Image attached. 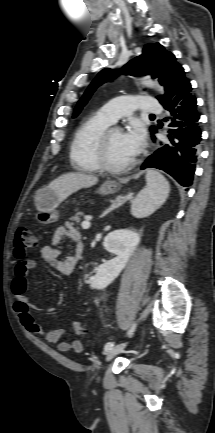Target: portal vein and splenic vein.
<instances>
[{
  "mask_svg": "<svg viewBox=\"0 0 215 433\" xmlns=\"http://www.w3.org/2000/svg\"><path fill=\"white\" fill-rule=\"evenodd\" d=\"M81 226H82L83 229H88V228H90L91 224H90L89 219L86 218V219L82 222Z\"/></svg>",
  "mask_w": 215,
  "mask_h": 433,
  "instance_id": "portal-vein-and-splenic-vein-1",
  "label": "portal vein and splenic vein"
}]
</instances>
